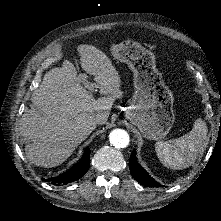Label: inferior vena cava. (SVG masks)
Masks as SVG:
<instances>
[{
	"label": "inferior vena cava",
	"mask_w": 221,
	"mask_h": 221,
	"mask_svg": "<svg viewBox=\"0 0 221 221\" xmlns=\"http://www.w3.org/2000/svg\"><path fill=\"white\" fill-rule=\"evenodd\" d=\"M98 119H99V115H96V114H93L89 117V121L92 125H96Z\"/></svg>",
	"instance_id": "1"
}]
</instances>
